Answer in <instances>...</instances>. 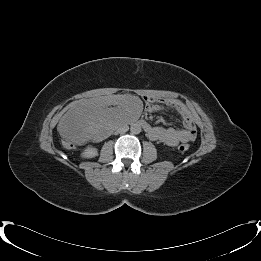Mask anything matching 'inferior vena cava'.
<instances>
[{"label": "inferior vena cava", "mask_w": 261, "mask_h": 261, "mask_svg": "<svg viewBox=\"0 0 261 261\" xmlns=\"http://www.w3.org/2000/svg\"><path fill=\"white\" fill-rule=\"evenodd\" d=\"M128 130H129V126L127 124H121L117 129V133L123 134V133L127 132Z\"/></svg>", "instance_id": "602c4592"}]
</instances>
